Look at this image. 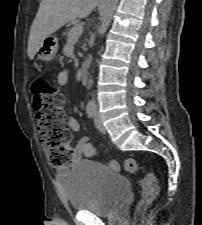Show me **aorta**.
Instances as JSON below:
<instances>
[{"instance_id": "aorta-1", "label": "aorta", "mask_w": 202, "mask_h": 225, "mask_svg": "<svg viewBox=\"0 0 202 225\" xmlns=\"http://www.w3.org/2000/svg\"><path fill=\"white\" fill-rule=\"evenodd\" d=\"M117 4H118V0H107L105 9L102 14L101 26L99 28V34L101 37L106 33L111 23Z\"/></svg>"}]
</instances>
